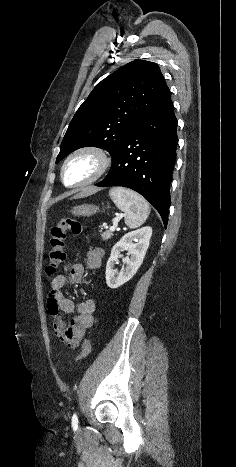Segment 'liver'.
<instances>
[{
    "mask_svg": "<svg viewBox=\"0 0 236 467\" xmlns=\"http://www.w3.org/2000/svg\"><path fill=\"white\" fill-rule=\"evenodd\" d=\"M98 190H99L98 188H93V187L83 188V189H81L76 195H74L72 198H73V199L82 198V197H85V196L94 194V193H96Z\"/></svg>",
    "mask_w": 236,
    "mask_h": 467,
    "instance_id": "1",
    "label": "liver"
}]
</instances>
